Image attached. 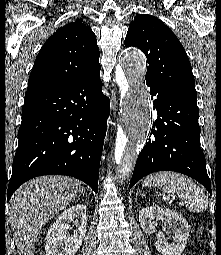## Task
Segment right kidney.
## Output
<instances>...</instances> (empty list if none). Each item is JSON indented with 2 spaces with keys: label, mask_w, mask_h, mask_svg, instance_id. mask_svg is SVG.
Segmentation results:
<instances>
[{
  "label": "right kidney",
  "mask_w": 221,
  "mask_h": 255,
  "mask_svg": "<svg viewBox=\"0 0 221 255\" xmlns=\"http://www.w3.org/2000/svg\"><path fill=\"white\" fill-rule=\"evenodd\" d=\"M77 225V230L70 234V223ZM86 207L75 204L62 212L50 226L46 235V255H75L86 234Z\"/></svg>",
  "instance_id": "obj_1"
}]
</instances>
